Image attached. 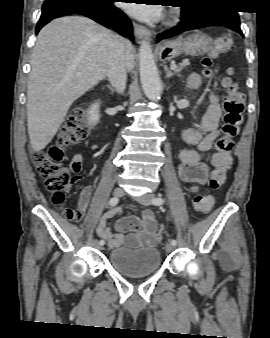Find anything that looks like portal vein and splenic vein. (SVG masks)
<instances>
[{
    "label": "portal vein and splenic vein",
    "mask_w": 270,
    "mask_h": 338,
    "mask_svg": "<svg viewBox=\"0 0 270 338\" xmlns=\"http://www.w3.org/2000/svg\"><path fill=\"white\" fill-rule=\"evenodd\" d=\"M172 70H175V69H177V65L176 64H173V65H171V67H170Z\"/></svg>",
    "instance_id": "obj_1"
}]
</instances>
